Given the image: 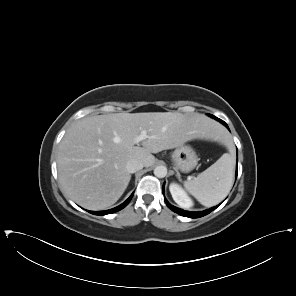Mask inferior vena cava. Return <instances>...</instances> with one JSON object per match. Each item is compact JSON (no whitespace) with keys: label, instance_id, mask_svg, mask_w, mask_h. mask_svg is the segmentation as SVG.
Returning a JSON list of instances; mask_svg holds the SVG:
<instances>
[{"label":"inferior vena cava","instance_id":"602c4592","mask_svg":"<svg viewBox=\"0 0 296 296\" xmlns=\"http://www.w3.org/2000/svg\"><path fill=\"white\" fill-rule=\"evenodd\" d=\"M144 167L143 163L137 159H132L127 162L126 168L129 173H135Z\"/></svg>","mask_w":296,"mask_h":296}]
</instances>
